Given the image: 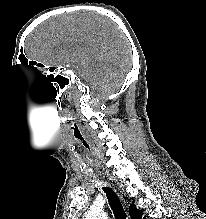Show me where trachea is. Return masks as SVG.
Listing matches in <instances>:
<instances>
[{
	"label": "trachea",
	"instance_id": "1",
	"mask_svg": "<svg viewBox=\"0 0 206 219\" xmlns=\"http://www.w3.org/2000/svg\"><path fill=\"white\" fill-rule=\"evenodd\" d=\"M102 189L107 196L109 205L114 213L115 219H126L127 215L116 193L109 187H102Z\"/></svg>",
	"mask_w": 206,
	"mask_h": 219
}]
</instances>
